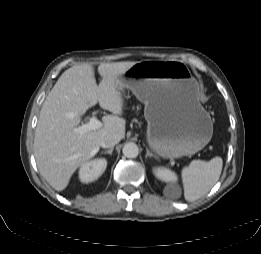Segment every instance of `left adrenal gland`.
I'll use <instances>...</instances> for the list:
<instances>
[{"label":"left adrenal gland","mask_w":261,"mask_h":254,"mask_svg":"<svg viewBox=\"0 0 261 254\" xmlns=\"http://www.w3.org/2000/svg\"><path fill=\"white\" fill-rule=\"evenodd\" d=\"M148 157H155V156L149 152L148 148H146V158H148Z\"/></svg>","instance_id":"1"}]
</instances>
